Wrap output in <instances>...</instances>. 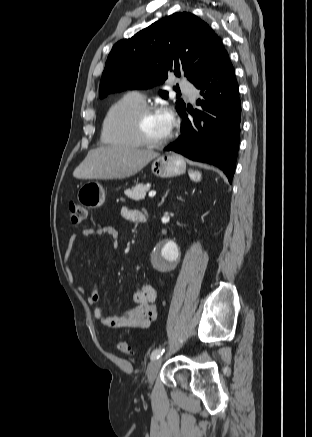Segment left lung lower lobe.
<instances>
[{
	"label": "left lung lower lobe",
	"instance_id": "0a47b994",
	"mask_svg": "<svg viewBox=\"0 0 312 437\" xmlns=\"http://www.w3.org/2000/svg\"><path fill=\"white\" fill-rule=\"evenodd\" d=\"M195 86L204 97L197 101L202 109H187L193 120L188 119L185 110L180 114L183 117L182 134L164 150L216 165L231 183L240 141L241 102L234 69L226 51Z\"/></svg>",
	"mask_w": 312,
	"mask_h": 437
}]
</instances>
